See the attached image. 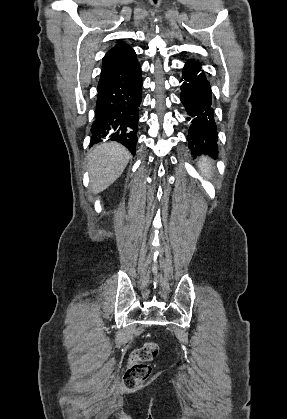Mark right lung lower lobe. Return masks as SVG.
Returning <instances> with one entry per match:
<instances>
[{
    "instance_id": "right-lung-lower-lobe-1",
    "label": "right lung lower lobe",
    "mask_w": 287,
    "mask_h": 419,
    "mask_svg": "<svg viewBox=\"0 0 287 419\" xmlns=\"http://www.w3.org/2000/svg\"><path fill=\"white\" fill-rule=\"evenodd\" d=\"M97 91L91 145L104 139L117 141L134 155L142 93L140 65L129 74L98 86Z\"/></svg>"
}]
</instances>
